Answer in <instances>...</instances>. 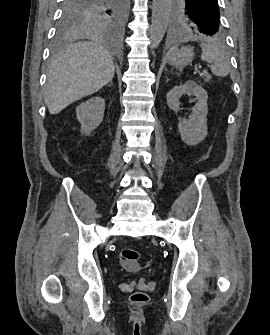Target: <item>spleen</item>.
<instances>
[{
    "label": "spleen",
    "mask_w": 270,
    "mask_h": 335,
    "mask_svg": "<svg viewBox=\"0 0 270 335\" xmlns=\"http://www.w3.org/2000/svg\"><path fill=\"white\" fill-rule=\"evenodd\" d=\"M189 40H199V38L188 36L186 42H189ZM205 42L206 44H201V60L211 64L210 68L212 74L225 78V76H228L231 68L223 44H220L219 40H217V36H215V38H206Z\"/></svg>",
    "instance_id": "3e777b00"
}]
</instances>
